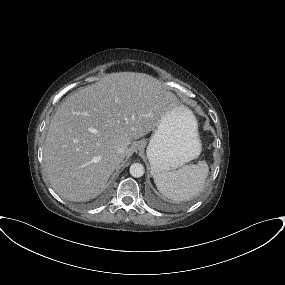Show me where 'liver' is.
<instances>
[{"mask_svg": "<svg viewBox=\"0 0 285 285\" xmlns=\"http://www.w3.org/2000/svg\"><path fill=\"white\" fill-rule=\"evenodd\" d=\"M174 106L173 94L158 80L134 72L106 74L70 95L51 120L43 150L52 188L75 202L98 196L132 155L133 140L155 130Z\"/></svg>", "mask_w": 285, "mask_h": 285, "instance_id": "6515ba94", "label": "liver"}]
</instances>
